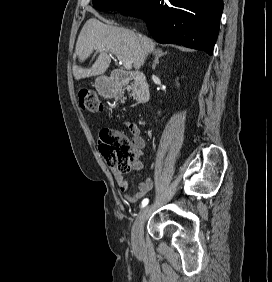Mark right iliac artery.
I'll use <instances>...</instances> for the list:
<instances>
[{
    "label": "right iliac artery",
    "instance_id": "1",
    "mask_svg": "<svg viewBox=\"0 0 272 282\" xmlns=\"http://www.w3.org/2000/svg\"><path fill=\"white\" fill-rule=\"evenodd\" d=\"M149 200L148 198L143 199L141 207H145L148 204Z\"/></svg>",
    "mask_w": 272,
    "mask_h": 282
}]
</instances>
